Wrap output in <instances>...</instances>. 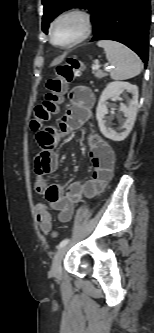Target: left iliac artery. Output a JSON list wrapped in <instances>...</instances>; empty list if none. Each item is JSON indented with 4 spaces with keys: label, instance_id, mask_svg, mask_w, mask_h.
<instances>
[{
    "label": "left iliac artery",
    "instance_id": "obj_1",
    "mask_svg": "<svg viewBox=\"0 0 154 333\" xmlns=\"http://www.w3.org/2000/svg\"><path fill=\"white\" fill-rule=\"evenodd\" d=\"M68 242H69V239H68V238L62 240V241L60 242V244L58 245V249H60L61 247L67 245Z\"/></svg>",
    "mask_w": 154,
    "mask_h": 333
}]
</instances>
